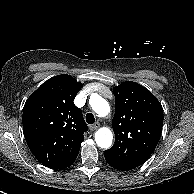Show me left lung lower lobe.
Wrapping results in <instances>:
<instances>
[{
    "label": "left lung lower lobe",
    "instance_id": "0a47b994",
    "mask_svg": "<svg viewBox=\"0 0 194 194\" xmlns=\"http://www.w3.org/2000/svg\"><path fill=\"white\" fill-rule=\"evenodd\" d=\"M105 156V159L107 161V163L112 166L113 168H116L118 170H122V171H129V170H132V169H135L136 167L135 166H132V165H128V164H125V163H122L106 154H104Z\"/></svg>",
    "mask_w": 194,
    "mask_h": 194
}]
</instances>
